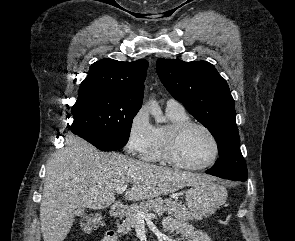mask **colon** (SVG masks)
<instances>
[{
	"mask_svg": "<svg viewBox=\"0 0 295 241\" xmlns=\"http://www.w3.org/2000/svg\"><path fill=\"white\" fill-rule=\"evenodd\" d=\"M98 218L96 216H88L84 222L83 227L85 231H91L97 224Z\"/></svg>",
	"mask_w": 295,
	"mask_h": 241,
	"instance_id": "1",
	"label": "colon"
}]
</instances>
